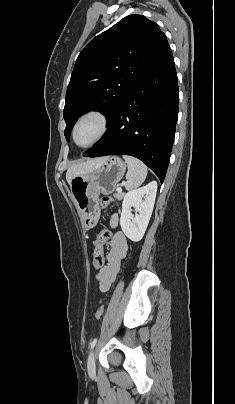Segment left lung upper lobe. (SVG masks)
<instances>
[{"label": "left lung upper lobe", "instance_id": "5c2ea615", "mask_svg": "<svg viewBox=\"0 0 235 404\" xmlns=\"http://www.w3.org/2000/svg\"><path fill=\"white\" fill-rule=\"evenodd\" d=\"M168 47L159 26L136 14L124 17L89 42L75 62L67 88L63 111L67 140L83 112L107 114L109 124L137 81Z\"/></svg>", "mask_w": 235, "mask_h": 404}]
</instances>
